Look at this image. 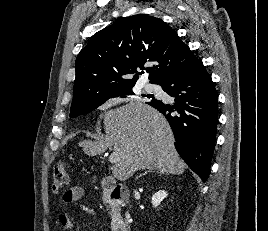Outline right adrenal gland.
I'll list each match as a JSON object with an SVG mask.
<instances>
[{
    "instance_id": "obj_1",
    "label": "right adrenal gland",
    "mask_w": 268,
    "mask_h": 231,
    "mask_svg": "<svg viewBox=\"0 0 268 231\" xmlns=\"http://www.w3.org/2000/svg\"><path fill=\"white\" fill-rule=\"evenodd\" d=\"M153 170H147L144 173L140 174L139 176L136 177V180H138L141 176L146 175L148 172H152Z\"/></svg>"
}]
</instances>
